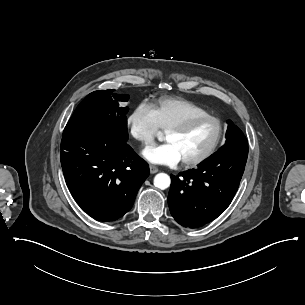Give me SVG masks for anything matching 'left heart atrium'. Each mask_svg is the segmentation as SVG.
Returning a JSON list of instances; mask_svg holds the SVG:
<instances>
[{"label":"left heart atrium","instance_id":"obj_1","mask_svg":"<svg viewBox=\"0 0 305 305\" xmlns=\"http://www.w3.org/2000/svg\"><path fill=\"white\" fill-rule=\"evenodd\" d=\"M142 156L154 164H176L182 160L180 152L171 142L147 147Z\"/></svg>","mask_w":305,"mask_h":305}]
</instances>
